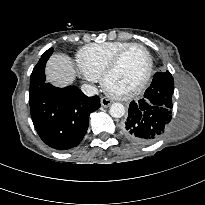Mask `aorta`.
<instances>
[{
    "instance_id": "aorta-1",
    "label": "aorta",
    "mask_w": 205,
    "mask_h": 205,
    "mask_svg": "<svg viewBox=\"0 0 205 205\" xmlns=\"http://www.w3.org/2000/svg\"><path fill=\"white\" fill-rule=\"evenodd\" d=\"M109 113L114 118H121L125 114V107L121 103H112L109 109Z\"/></svg>"
}]
</instances>
